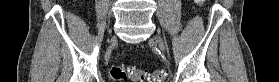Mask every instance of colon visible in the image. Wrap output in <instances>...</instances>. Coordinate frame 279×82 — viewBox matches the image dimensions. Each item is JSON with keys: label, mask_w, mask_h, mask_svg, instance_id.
<instances>
[{"label": "colon", "mask_w": 279, "mask_h": 82, "mask_svg": "<svg viewBox=\"0 0 279 82\" xmlns=\"http://www.w3.org/2000/svg\"><path fill=\"white\" fill-rule=\"evenodd\" d=\"M198 3L204 1L198 0ZM111 77L115 82L126 81L128 78L134 82H162L166 76L165 70H157L155 76L149 77L143 70L136 67L125 68L121 65L112 67L110 71Z\"/></svg>", "instance_id": "obj_1"}]
</instances>
